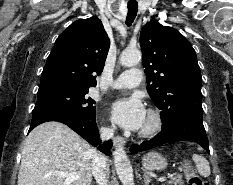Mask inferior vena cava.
<instances>
[{"label": "inferior vena cava", "instance_id": "1", "mask_svg": "<svg viewBox=\"0 0 233 185\" xmlns=\"http://www.w3.org/2000/svg\"><path fill=\"white\" fill-rule=\"evenodd\" d=\"M115 127L101 128L100 137L102 141L109 140L114 135ZM92 174L98 185H108L110 169L107 158L102 154H97L92 160Z\"/></svg>", "mask_w": 233, "mask_h": 185}]
</instances>
